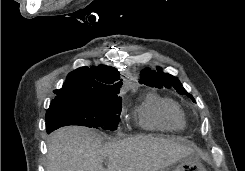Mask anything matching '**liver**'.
Returning a JSON list of instances; mask_svg holds the SVG:
<instances>
[{"label": "liver", "instance_id": "6515ba94", "mask_svg": "<svg viewBox=\"0 0 245 171\" xmlns=\"http://www.w3.org/2000/svg\"><path fill=\"white\" fill-rule=\"evenodd\" d=\"M196 151V147L153 136L102 145L96 131L67 126L50 137L46 171H159ZM105 158L107 169L102 166Z\"/></svg>", "mask_w": 245, "mask_h": 171}]
</instances>
